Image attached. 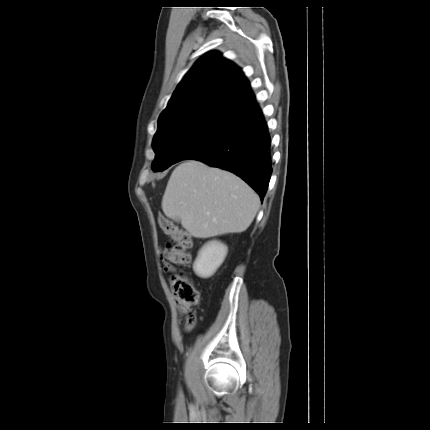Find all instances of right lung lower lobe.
<instances>
[{
	"mask_svg": "<svg viewBox=\"0 0 430 430\" xmlns=\"http://www.w3.org/2000/svg\"><path fill=\"white\" fill-rule=\"evenodd\" d=\"M245 89L251 92L249 86ZM270 145L262 111L255 104L227 130L186 159L199 160L238 175L262 201L272 173Z\"/></svg>",
	"mask_w": 430,
	"mask_h": 430,
	"instance_id": "obj_1",
	"label": "right lung lower lobe"
}]
</instances>
